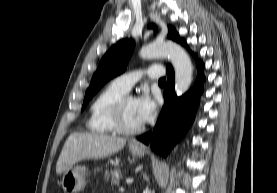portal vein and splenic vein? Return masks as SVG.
I'll list each match as a JSON object with an SVG mask.
<instances>
[{
    "label": "portal vein and splenic vein",
    "instance_id": "portal-vein-and-splenic-vein-1",
    "mask_svg": "<svg viewBox=\"0 0 277 193\" xmlns=\"http://www.w3.org/2000/svg\"><path fill=\"white\" fill-rule=\"evenodd\" d=\"M133 181H134L133 178H127V179H126V183H127V184H132Z\"/></svg>",
    "mask_w": 277,
    "mask_h": 193
}]
</instances>
